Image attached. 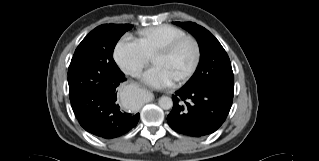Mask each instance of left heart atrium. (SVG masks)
Returning a JSON list of instances; mask_svg holds the SVG:
<instances>
[{"instance_id":"obj_1","label":"left heart atrium","mask_w":319,"mask_h":161,"mask_svg":"<svg viewBox=\"0 0 319 161\" xmlns=\"http://www.w3.org/2000/svg\"><path fill=\"white\" fill-rule=\"evenodd\" d=\"M143 80L155 88H165L173 84V79L160 66H153L143 74Z\"/></svg>"}]
</instances>
